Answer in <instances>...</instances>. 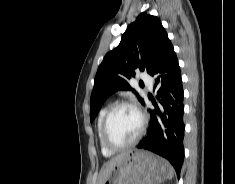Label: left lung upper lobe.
Segmentation results:
<instances>
[{
    "mask_svg": "<svg viewBox=\"0 0 235 184\" xmlns=\"http://www.w3.org/2000/svg\"><path fill=\"white\" fill-rule=\"evenodd\" d=\"M168 38L159 18L141 13L122 35L120 44L108 52L98 67L90 99L92 122L104 101L118 90H132L129 81L135 71H152L161 43Z\"/></svg>",
    "mask_w": 235,
    "mask_h": 184,
    "instance_id": "1",
    "label": "left lung upper lobe"
}]
</instances>
